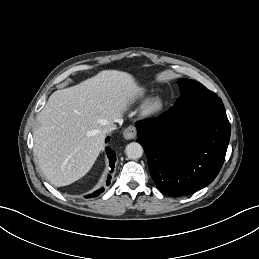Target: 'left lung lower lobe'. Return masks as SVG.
Masks as SVG:
<instances>
[{
  "label": "left lung lower lobe",
  "instance_id": "0a47b994",
  "mask_svg": "<svg viewBox=\"0 0 259 259\" xmlns=\"http://www.w3.org/2000/svg\"><path fill=\"white\" fill-rule=\"evenodd\" d=\"M136 128L156 186L172 197L193 194L215 179L231 133L218 96L171 108Z\"/></svg>",
  "mask_w": 259,
  "mask_h": 259
}]
</instances>
